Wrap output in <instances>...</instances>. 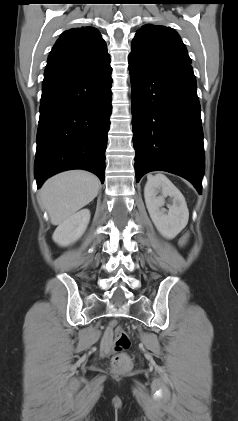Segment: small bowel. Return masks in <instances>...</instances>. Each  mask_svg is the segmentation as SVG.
<instances>
[{"label":"small bowel","instance_id":"small-bowel-1","mask_svg":"<svg viewBox=\"0 0 238 421\" xmlns=\"http://www.w3.org/2000/svg\"><path fill=\"white\" fill-rule=\"evenodd\" d=\"M111 343H112V339H111V337L108 333V330H107V332L105 333V335L102 339V348L105 352H108L110 350Z\"/></svg>","mask_w":238,"mask_h":421}]
</instances>
